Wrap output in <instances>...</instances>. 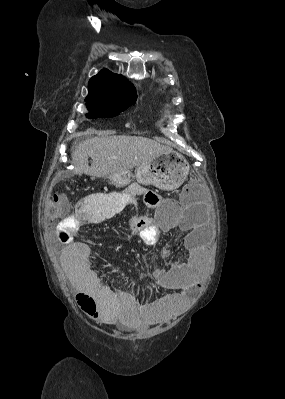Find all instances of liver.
Wrapping results in <instances>:
<instances>
[{"mask_svg": "<svg viewBox=\"0 0 285 399\" xmlns=\"http://www.w3.org/2000/svg\"><path fill=\"white\" fill-rule=\"evenodd\" d=\"M168 150H171L170 147L145 137L102 135L87 139L75 147L72 151L73 171L92 178L118 177ZM89 157L92 159L91 166L88 164Z\"/></svg>", "mask_w": 285, "mask_h": 399, "instance_id": "obj_1", "label": "liver"}]
</instances>
